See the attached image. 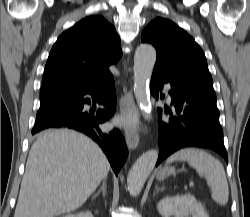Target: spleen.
Returning <instances> with one entry per match:
<instances>
[{
    "label": "spleen",
    "instance_id": "spleen-1",
    "mask_svg": "<svg viewBox=\"0 0 250 217\" xmlns=\"http://www.w3.org/2000/svg\"><path fill=\"white\" fill-rule=\"evenodd\" d=\"M176 160L187 161L196 169L199 176L204 177L212 189V199L222 206L226 205L229 197L228 182L222 163L204 150L186 148L172 154L166 163Z\"/></svg>",
    "mask_w": 250,
    "mask_h": 217
}]
</instances>
